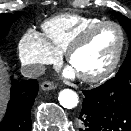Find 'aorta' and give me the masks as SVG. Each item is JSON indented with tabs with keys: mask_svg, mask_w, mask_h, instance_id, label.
Listing matches in <instances>:
<instances>
[{
	"mask_svg": "<svg viewBox=\"0 0 131 131\" xmlns=\"http://www.w3.org/2000/svg\"><path fill=\"white\" fill-rule=\"evenodd\" d=\"M60 105L66 109H73L78 105L79 98L76 92L71 89H64L60 91L58 96Z\"/></svg>",
	"mask_w": 131,
	"mask_h": 131,
	"instance_id": "1",
	"label": "aorta"
}]
</instances>
